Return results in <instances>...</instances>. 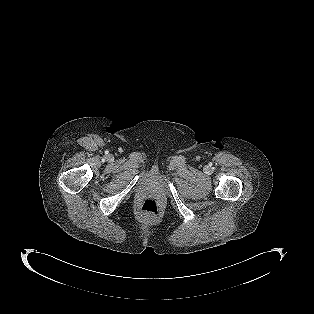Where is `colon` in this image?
<instances>
[{
	"label": "colon",
	"instance_id": "1",
	"mask_svg": "<svg viewBox=\"0 0 314 314\" xmlns=\"http://www.w3.org/2000/svg\"><path fill=\"white\" fill-rule=\"evenodd\" d=\"M139 213L144 217L156 218L161 215V210L156 201L147 199L140 205Z\"/></svg>",
	"mask_w": 314,
	"mask_h": 314
}]
</instances>
